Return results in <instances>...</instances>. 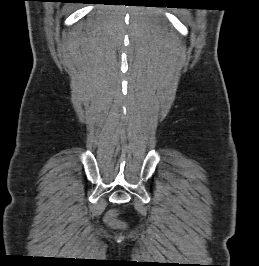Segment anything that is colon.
<instances>
[{
  "label": "colon",
  "mask_w": 259,
  "mask_h": 266,
  "mask_svg": "<svg viewBox=\"0 0 259 266\" xmlns=\"http://www.w3.org/2000/svg\"><path fill=\"white\" fill-rule=\"evenodd\" d=\"M106 222L109 226L113 228H120L123 226V223L117 218V214L115 211L109 212L106 217Z\"/></svg>",
  "instance_id": "5ec220e1"
}]
</instances>
